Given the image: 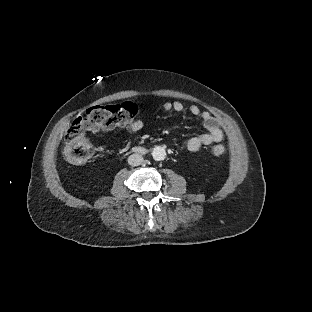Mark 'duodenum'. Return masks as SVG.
<instances>
[{
    "mask_svg": "<svg viewBox=\"0 0 312 312\" xmlns=\"http://www.w3.org/2000/svg\"><path fill=\"white\" fill-rule=\"evenodd\" d=\"M134 151H135V153H137L139 155H143L145 153V150L143 148H140V147H135Z\"/></svg>",
    "mask_w": 312,
    "mask_h": 312,
    "instance_id": "duodenum-1",
    "label": "duodenum"
}]
</instances>
